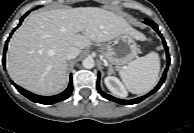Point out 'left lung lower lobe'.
<instances>
[{"label": "left lung lower lobe", "instance_id": "0a47b994", "mask_svg": "<svg viewBox=\"0 0 194 133\" xmlns=\"http://www.w3.org/2000/svg\"><path fill=\"white\" fill-rule=\"evenodd\" d=\"M145 24L151 26L158 34L159 36L162 38L163 42H164V38L163 36L161 35V33L159 32L158 30V26L156 25V23H154L153 21L149 20V19H146L144 21ZM164 47L166 49V56H167V59H168V64L166 66V69L164 71V74L159 82V84L155 87V89H153L151 92H149L147 95L145 96H142V97H139V98H136V99H133V100H121V99H118V98H115L111 95H108L106 93H104L103 91H101L100 87H99V79H98V82H97V89L99 91V93L106 99L108 100H112V101H115L119 104H123V105H132V104H136V103H139L141 102L142 100H144L146 97L152 95L154 92H156L160 86L163 84L164 80H165V77H166V74H167V70H168V67H169V63H170V56H169V52H168V48H167V45L166 43L164 42Z\"/></svg>", "mask_w": 194, "mask_h": 133}]
</instances>
